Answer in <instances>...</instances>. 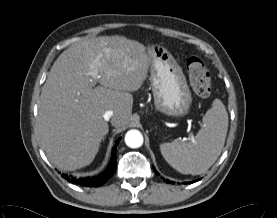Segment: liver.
I'll return each instance as SVG.
<instances>
[{
  "mask_svg": "<svg viewBox=\"0 0 277 218\" xmlns=\"http://www.w3.org/2000/svg\"><path fill=\"white\" fill-rule=\"evenodd\" d=\"M150 52L125 37L101 36L60 54L42 87L37 123L41 146L55 166L71 171L92 163L109 130L107 110L113 111L112 126L129 123L131 92L147 77ZM96 81L100 85L92 88Z\"/></svg>",
  "mask_w": 277,
  "mask_h": 218,
  "instance_id": "liver-1",
  "label": "liver"
}]
</instances>
